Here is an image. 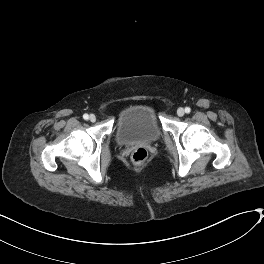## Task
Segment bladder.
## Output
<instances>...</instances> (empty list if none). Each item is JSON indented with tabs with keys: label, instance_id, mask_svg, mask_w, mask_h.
<instances>
[{
	"label": "bladder",
	"instance_id": "31cf9c89",
	"mask_svg": "<svg viewBox=\"0 0 264 264\" xmlns=\"http://www.w3.org/2000/svg\"><path fill=\"white\" fill-rule=\"evenodd\" d=\"M162 136V128L154 110L148 105H133L118 118L115 141L123 146L152 143Z\"/></svg>",
	"mask_w": 264,
	"mask_h": 264
}]
</instances>
